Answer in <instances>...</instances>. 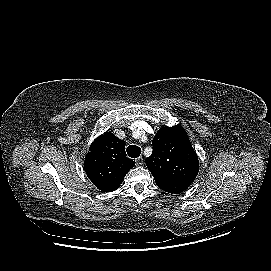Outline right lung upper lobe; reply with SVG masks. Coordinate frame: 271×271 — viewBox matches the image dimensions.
I'll use <instances>...</instances> for the list:
<instances>
[{"label": "right lung upper lobe", "instance_id": "obj_1", "mask_svg": "<svg viewBox=\"0 0 271 271\" xmlns=\"http://www.w3.org/2000/svg\"><path fill=\"white\" fill-rule=\"evenodd\" d=\"M135 162L126 157L125 141L113 133L99 136L90 146L84 168L88 178L105 192L119 188Z\"/></svg>", "mask_w": 271, "mask_h": 271}]
</instances>
